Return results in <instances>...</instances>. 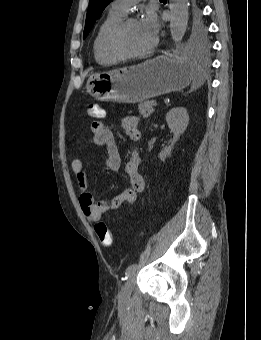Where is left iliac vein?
I'll use <instances>...</instances> for the list:
<instances>
[{"instance_id": "left-iliac-vein-1", "label": "left iliac vein", "mask_w": 261, "mask_h": 340, "mask_svg": "<svg viewBox=\"0 0 261 340\" xmlns=\"http://www.w3.org/2000/svg\"><path fill=\"white\" fill-rule=\"evenodd\" d=\"M135 280H136V270L129 276L125 285L123 286V288L121 289L118 295V300L120 303H125L130 299L131 293H132V290L135 284Z\"/></svg>"}]
</instances>
